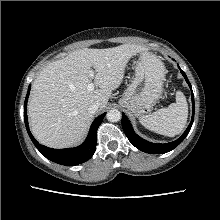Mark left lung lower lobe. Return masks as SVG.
Listing matches in <instances>:
<instances>
[{"label":"left lung lower lobe","instance_id":"0a47b994","mask_svg":"<svg viewBox=\"0 0 220 220\" xmlns=\"http://www.w3.org/2000/svg\"><path fill=\"white\" fill-rule=\"evenodd\" d=\"M179 69H180V67H179ZM180 71H181L183 77L185 78L186 82L188 83L190 89L192 90L191 84H190L186 74L181 69H180ZM192 108H193L192 119H191V122H190L189 126L187 127L186 131L183 133V135L179 139H177L176 141L170 142V143L154 144V143H150V142L140 138L134 132L129 120L127 119V117L125 116L124 113H122V128H123V131H124L125 135L127 136L128 140L131 142V144L134 145L139 150L146 152V153H150V154L167 153V152L173 150L174 148H176L185 139V137L187 136V134L189 133V131L192 127L193 120H194V95H193V91H192Z\"/></svg>","mask_w":220,"mask_h":220}]
</instances>
